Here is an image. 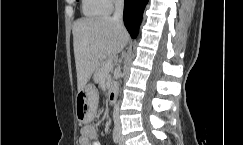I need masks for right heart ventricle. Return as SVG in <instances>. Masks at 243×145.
<instances>
[{"label":"right heart ventricle","mask_w":243,"mask_h":145,"mask_svg":"<svg viewBox=\"0 0 243 145\" xmlns=\"http://www.w3.org/2000/svg\"><path fill=\"white\" fill-rule=\"evenodd\" d=\"M109 10L103 0H82V11L87 17L103 16Z\"/></svg>","instance_id":"obj_1"}]
</instances>
